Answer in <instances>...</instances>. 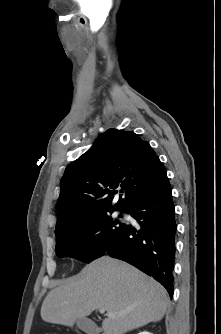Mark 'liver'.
<instances>
[{
    "instance_id": "liver-1",
    "label": "liver",
    "mask_w": 221,
    "mask_h": 334,
    "mask_svg": "<svg viewBox=\"0 0 221 334\" xmlns=\"http://www.w3.org/2000/svg\"><path fill=\"white\" fill-rule=\"evenodd\" d=\"M167 305V292L157 281L124 261L103 256L49 291L41 306V318L72 326L104 308L114 316L103 320V334H124L160 321Z\"/></svg>"
}]
</instances>
